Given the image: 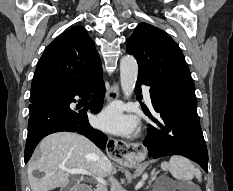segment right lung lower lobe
<instances>
[{
  "label": "right lung lower lobe",
  "instance_id": "right-lung-lower-lobe-1",
  "mask_svg": "<svg viewBox=\"0 0 233 191\" xmlns=\"http://www.w3.org/2000/svg\"><path fill=\"white\" fill-rule=\"evenodd\" d=\"M89 92H93L94 95L85 109L98 113L105 95L102 72L80 85L41 86L31 90L25 163L42 138L60 131L77 132L86 136L99 148L105 149L107 137L90 126L86 112L75 111L69 107L70 103L76 102L75 96L82 97Z\"/></svg>",
  "mask_w": 233,
  "mask_h": 191
}]
</instances>
